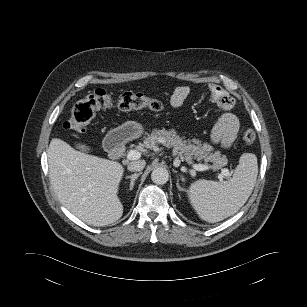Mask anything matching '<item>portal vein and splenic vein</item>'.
Returning <instances> with one entry per match:
<instances>
[{"mask_svg":"<svg viewBox=\"0 0 307 307\" xmlns=\"http://www.w3.org/2000/svg\"><path fill=\"white\" fill-rule=\"evenodd\" d=\"M141 156V153L137 150H130L127 154V159L128 160H136L139 159ZM193 168L197 171H205L209 170L210 166L204 165V164H194ZM229 175V170L228 169H222V173L219 178H222L223 176H228Z\"/></svg>","mask_w":307,"mask_h":307,"instance_id":"18ae733b","label":"portal vein and splenic vein"}]
</instances>
